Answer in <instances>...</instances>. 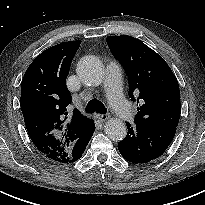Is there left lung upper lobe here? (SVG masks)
Instances as JSON below:
<instances>
[{
  "mask_svg": "<svg viewBox=\"0 0 205 205\" xmlns=\"http://www.w3.org/2000/svg\"><path fill=\"white\" fill-rule=\"evenodd\" d=\"M128 76L129 97H137L135 121L176 128L180 118L178 81L165 60L142 41L127 35L106 39Z\"/></svg>",
  "mask_w": 205,
  "mask_h": 205,
  "instance_id": "5c2ea615",
  "label": "left lung upper lobe"
}]
</instances>
